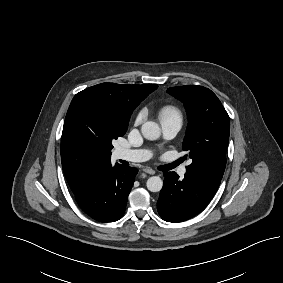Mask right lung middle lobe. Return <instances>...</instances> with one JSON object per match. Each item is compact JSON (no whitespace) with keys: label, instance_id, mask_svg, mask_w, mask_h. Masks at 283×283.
<instances>
[{"label":"right lung middle lobe","instance_id":"dd1d6c3e","mask_svg":"<svg viewBox=\"0 0 283 283\" xmlns=\"http://www.w3.org/2000/svg\"><path fill=\"white\" fill-rule=\"evenodd\" d=\"M134 109L114 96L85 89L74 96L64 127L78 146L110 158L112 141L126 133Z\"/></svg>","mask_w":283,"mask_h":283}]
</instances>
